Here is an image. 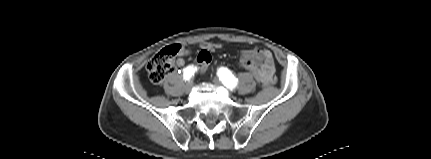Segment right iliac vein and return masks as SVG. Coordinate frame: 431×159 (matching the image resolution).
I'll list each match as a JSON object with an SVG mask.
<instances>
[{
  "instance_id": "1",
  "label": "right iliac vein",
  "mask_w": 431,
  "mask_h": 159,
  "mask_svg": "<svg viewBox=\"0 0 431 159\" xmlns=\"http://www.w3.org/2000/svg\"><path fill=\"white\" fill-rule=\"evenodd\" d=\"M192 86H193L192 82H188V83H186V85L184 86V92H185L186 94H188V93L191 91Z\"/></svg>"
}]
</instances>
